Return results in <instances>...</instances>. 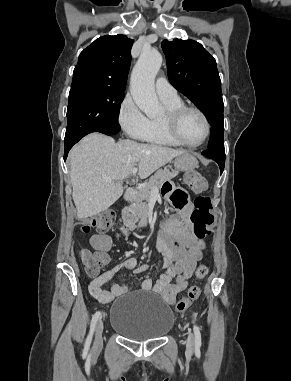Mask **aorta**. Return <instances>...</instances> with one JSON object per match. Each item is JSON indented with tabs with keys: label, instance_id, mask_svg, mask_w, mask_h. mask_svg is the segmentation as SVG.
<instances>
[{
	"label": "aorta",
	"instance_id": "762f6f07",
	"mask_svg": "<svg viewBox=\"0 0 291 381\" xmlns=\"http://www.w3.org/2000/svg\"><path fill=\"white\" fill-rule=\"evenodd\" d=\"M161 64L162 55L157 50H143L131 74L132 98L148 117L157 116L161 112L154 88V80Z\"/></svg>",
	"mask_w": 291,
	"mask_h": 381
}]
</instances>
